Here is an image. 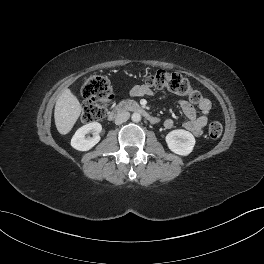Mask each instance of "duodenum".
I'll list each match as a JSON object with an SVG mask.
<instances>
[{
    "mask_svg": "<svg viewBox=\"0 0 264 264\" xmlns=\"http://www.w3.org/2000/svg\"><path fill=\"white\" fill-rule=\"evenodd\" d=\"M124 112L138 113L149 120L151 123H156L158 121V119L155 116L151 115L143 106L131 100H125L116 105L109 112L108 119L114 120Z\"/></svg>",
    "mask_w": 264,
    "mask_h": 264,
    "instance_id": "1",
    "label": "duodenum"
}]
</instances>
